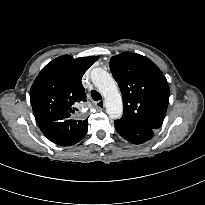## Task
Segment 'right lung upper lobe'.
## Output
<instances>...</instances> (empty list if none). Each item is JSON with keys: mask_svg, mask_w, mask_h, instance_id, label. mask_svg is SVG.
<instances>
[{"mask_svg": "<svg viewBox=\"0 0 205 205\" xmlns=\"http://www.w3.org/2000/svg\"><path fill=\"white\" fill-rule=\"evenodd\" d=\"M97 59H74L70 55H63L40 71L30 90L34 117L40 129L59 122L60 134L71 142L79 141L86 134L88 120L72 118L78 111V103L86 99L81 78Z\"/></svg>", "mask_w": 205, "mask_h": 205, "instance_id": "1", "label": "right lung upper lobe"}]
</instances>
